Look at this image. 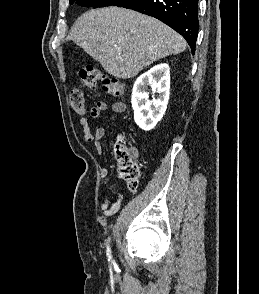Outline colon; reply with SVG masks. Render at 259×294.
I'll return each instance as SVG.
<instances>
[{
	"label": "colon",
	"instance_id": "5ec220e1",
	"mask_svg": "<svg viewBox=\"0 0 259 294\" xmlns=\"http://www.w3.org/2000/svg\"><path fill=\"white\" fill-rule=\"evenodd\" d=\"M80 82L83 87L95 89L98 83H101L105 93L112 96H121L124 92L123 86L119 80L101 73L99 70L87 67L80 70ZM69 101L72 109L78 114L89 112L86 98L81 87L74 85L69 91ZM116 158L119 171L131 190H135L139 184L140 172L132 152L123 144L116 146Z\"/></svg>",
	"mask_w": 259,
	"mask_h": 294
}]
</instances>
